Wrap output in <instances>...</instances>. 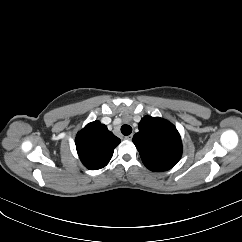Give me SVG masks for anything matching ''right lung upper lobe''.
Instances as JSON below:
<instances>
[{
	"label": "right lung upper lobe",
	"mask_w": 242,
	"mask_h": 242,
	"mask_svg": "<svg viewBox=\"0 0 242 242\" xmlns=\"http://www.w3.org/2000/svg\"><path fill=\"white\" fill-rule=\"evenodd\" d=\"M119 143L120 139L99 121L87 124L76 136L78 155L90 170L106 166Z\"/></svg>",
	"instance_id": "cb5924a9"
}]
</instances>
